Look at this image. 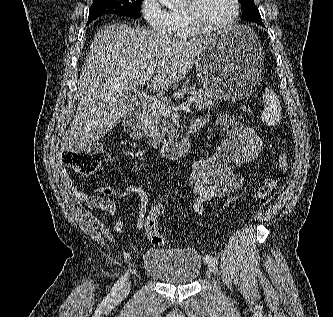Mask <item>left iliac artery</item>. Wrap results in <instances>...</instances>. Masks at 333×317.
Here are the masks:
<instances>
[{
    "mask_svg": "<svg viewBox=\"0 0 333 317\" xmlns=\"http://www.w3.org/2000/svg\"><path fill=\"white\" fill-rule=\"evenodd\" d=\"M204 261L206 262V263H210V262H213V263H218V260L216 259V258H214V257H212V256H205L204 257Z\"/></svg>",
    "mask_w": 333,
    "mask_h": 317,
    "instance_id": "left-iliac-artery-1",
    "label": "left iliac artery"
}]
</instances>
